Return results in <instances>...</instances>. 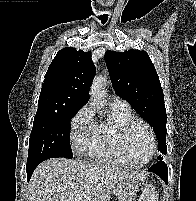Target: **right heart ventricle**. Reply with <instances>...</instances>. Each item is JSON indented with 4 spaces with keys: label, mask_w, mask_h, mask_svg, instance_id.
Masks as SVG:
<instances>
[{
    "label": "right heart ventricle",
    "mask_w": 196,
    "mask_h": 201,
    "mask_svg": "<svg viewBox=\"0 0 196 201\" xmlns=\"http://www.w3.org/2000/svg\"><path fill=\"white\" fill-rule=\"evenodd\" d=\"M133 118L130 108L112 105L109 117L95 125L94 137L87 150L89 155L98 161L128 165L120 145V131Z\"/></svg>",
    "instance_id": "obj_1"
}]
</instances>
